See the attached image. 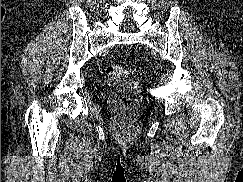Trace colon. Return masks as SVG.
I'll list each match as a JSON object with an SVG mask.
<instances>
[{
    "label": "colon",
    "instance_id": "colon-1",
    "mask_svg": "<svg viewBox=\"0 0 243 182\" xmlns=\"http://www.w3.org/2000/svg\"><path fill=\"white\" fill-rule=\"evenodd\" d=\"M106 73L115 80L126 79L130 75V71L122 65H110L107 67Z\"/></svg>",
    "mask_w": 243,
    "mask_h": 182
}]
</instances>
